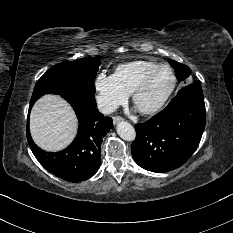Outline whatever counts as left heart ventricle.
I'll use <instances>...</instances> for the list:
<instances>
[{
  "instance_id": "left-heart-ventricle-1",
  "label": "left heart ventricle",
  "mask_w": 233,
  "mask_h": 233,
  "mask_svg": "<svg viewBox=\"0 0 233 233\" xmlns=\"http://www.w3.org/2000/svg\"><path fill=\"white\" fill-rule=\"evenodd\" d=\"M172 83V75L168 69L157 71L145 89L138 95L136 107L148 109L155 106L166 94Z\"/></svg>"
}]
</instances>
